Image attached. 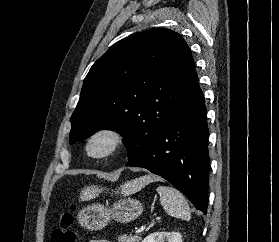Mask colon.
<instances>
[{
	"instance_id": "1",
	"label": "colon",
	"mask_w": 279,
	"mask_h": 242,
	"mask_svg": "<svg viewBox=\"0 0 279 242\" xmlns=\"http://www.w3.org/2000/svg\"><path fill=\"white\" fill-rule=\"evenodd\" d=\"M74 214L67 210L60 214L59 226L53 231L50 242H76L75 232L71 229Z\"/></svg>"
}]
</instances>
